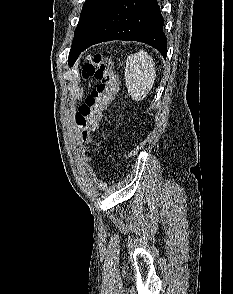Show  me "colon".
<instances>
[{
	"mask_svg": "<svg viewBox=\"0 0 233 294\" xmlns=\"http://www.w3.org/2000/svg\"><path fill=\"white\" fill-rule=\"evenodd\" d=\"M83 76L85 79L95 78L98 81L97 86L86 97L74 117L81 140L87 142L90 133L97 128L103 111L117 91V77L113 72L111 59L99 53L88 57Z\"/></svg>",
	"mask_w": 233,
	"mask_h": 294,
	"instance_id": "5ec220e1",
	"label": "colon"
}]
</instances>
